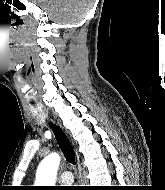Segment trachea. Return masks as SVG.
I'll return each mask as SVG.
<instances>
[{"label": "trachea", "instance_id": "obj_1", "mask_svg": "<svg viewBox=\"0 0 165 190\" xmlns=\"http://www.w3.org/2000/svg\"><path fill=\"white\" fill-rule=\"evenodd\" d=\"M51 128L54 132L57 143H58L59 147L61 148L66 160L69 163L74 165L75 164V153H74L73 147H72L69 139L58 126L52 124Z\"/></svg>", "mask_w": 165, "mask_h": 190}]
</instances>
